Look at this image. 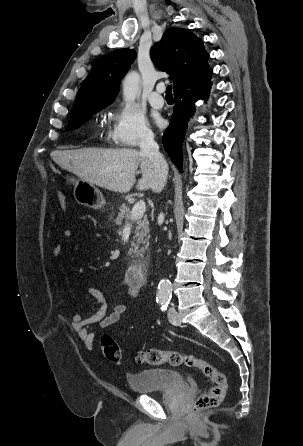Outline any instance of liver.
Returning <instances> with one entry per match:
<instances>
[{
  "label": "liver",
  "mask_w": 303,
  "mask_h": 446,
  "mask_svg": "<svg viewBox=\"0 0 303 446\" xmlns=\"http://www.w3.org/2000/svg\"><path fill=\"white\" fill-rule=\"evenodd\" d=\"M51 158L82 180L117 193L131 190L138 168L142 177L137 181V190L160 192L163 188L153 163L136 149L57 150Z\"/></svg>",
  "instance_id": "1"
}]
</instances>
